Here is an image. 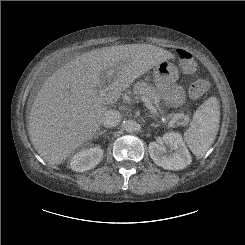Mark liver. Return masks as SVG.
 Instances as JSON below:
<instances>
[{
	"instance_id": "obj_1",
	"label": "liver",
	"mask_w": 245,
	"mask_h": 245,
	"mask_svg": "<svg viewBox=\"0 0 245 245\" xmlns=\"http://www.w3.org/2000/svg\"><path fill=\"white\" fill-rule=\"evenodd\" d=\"M173 58L154 45L126 44L92 50L69 61L47 78L33 101L28 117L33 147L49 164L63 163L98 133L108 106L135 79ZM105 79L109 90L100 96Z\"/></svg>"
}]
</instances>
